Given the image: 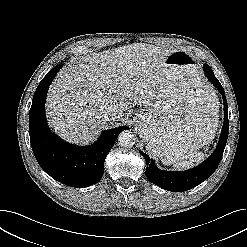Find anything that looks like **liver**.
<instances>
[{
  "mask_svg": "<svg viewBox=\"0 0 247 247\" xmlns=\"http://www.w3.org/2000/svg\"><path fill=\"white\" fill-rule=\"evenodd\" d=\"M176 49L134 43L82 57L59 71L47 96L49 123L67 141L87 144L123 111L134 105L151 106L166 84L164 65ZM115 108L120 117L105 120ZM216 121V127H217Z\"/></svg>",
  "mask_w": 247,
  "mask_h": 247,
  "instance_id": "obj_1",
  "label": "liver"
}]
</instances>
